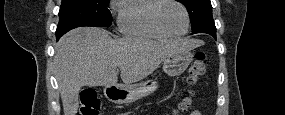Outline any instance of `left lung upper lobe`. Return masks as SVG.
I'll use <instances>...</instances> for the list:
<instances>
[{"label": "left lung upper lobe", "mask_w": 285, "mask_h": 115, "mask_svg": "<svg viewBox=\"0 0 285 115\" xmlns=\"http://www.w3.org/2000/svg\"><path fill=\"white\" fill-rule=\"evenodd\" d=\"M188 10L192 33H203L206 28L215 26L210 0H179Z\"/></svg>", "instance_id": "left-lung-upper-lobe-1"}]
</instances>
